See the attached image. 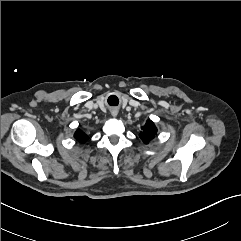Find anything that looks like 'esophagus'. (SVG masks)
<instances>
[{"label": "esophagus", "mask_w": 241, "mask_h": 241, "mask_svg": "<svg viewBox=\"0 0 241 241\" xmlns=\"http://www.w3.org/2000/svg\"><path fill=\"white\" fill-rule=\"evenodd\" d=\"M112 115H113V116H116V115H117V111H116V110H113V111H112Z\"/></svg>", "instance_id": "1"}]
</instances>
